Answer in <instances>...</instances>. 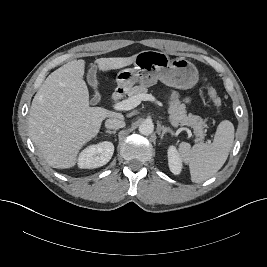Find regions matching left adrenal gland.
Wrapping results in <instances>:
<instances>
[{"label":"left adrenal gland","instance_id":"1","mask_svg":"<svg viewBox=\"0 0 267 267\" xmlns=\"http://www.w3.org/2000/svg\"><path fill=\"white\" fill-rule=\"evenodd\" d=\"M160 130L162 131V133H161V136H160V138H161V140L163 139V137H164V135L166 134V133H170V134H173V131L168 127H165V126H161L160 127Z\"/></svg>","mask_w":267,"mask_h":267}]
</instances>
